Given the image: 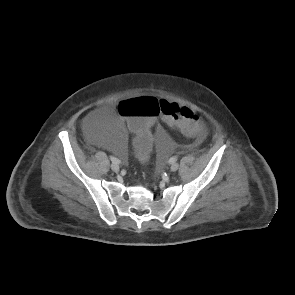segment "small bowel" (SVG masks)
<instances>
[{
    "mask_svg": "<svg viewBox=\"0 0 295 295\" xmlns=\"http://www.w3.org/2000/svg\"><path fill=\"white\" fill-rule=\"evenodd\" d=\"M168 125H170V126H173L171 123H169L168 121H165ZM158 123H157V121L153 124V127L155 126V125H157ZM151 132V131H150ZM150 132H149V134H150ZM204 136V135H203ZM203 136H201V137H198V140H201L202 138H203Z\"/></svg>",
    "mask_w": 295,
    "mask_h": 295,
    "instance_id": "obj_1",
    "label": "small bowel"
}]
</instances>
